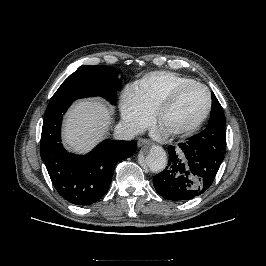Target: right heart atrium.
Instances as JSON below:
<instances>
[{"label": "right heart atrium", "instance_id": "obj_1", "mask_svg": "<svg viewBox=\"0 0 266 266\" xmlns=\"http://www.w3.org/2000/svg\"><path fill=\"white\" fill-rule=\"evenodd\" d=\"M120 114L124 126L132 133L140 132L151 122V114L139 103L130 89L121 97Z\"/></svg>", "mask_w": 266, "mask_h": 266}]
</instances>
